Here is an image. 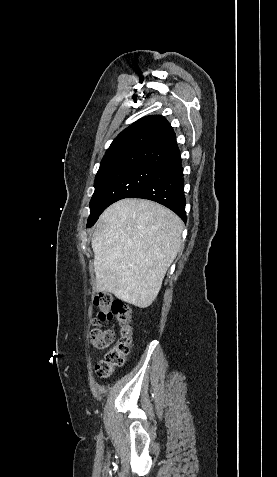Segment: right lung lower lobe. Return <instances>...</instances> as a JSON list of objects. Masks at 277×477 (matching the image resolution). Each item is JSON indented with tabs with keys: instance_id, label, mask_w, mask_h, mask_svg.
<instances>
[{
	"instance_id": "right-lung-lower-lobe-1",
	"label": "right lung lower lobe",
	"mask_w": 277,
	"mask_h": 477,
	"mask_svg": "<svg viewBox=\"0 0 277 477\" xmlns=\"http://www.w3.org/2000/svg\"><path fill=\"white\" fill-rule=\"evenodd\" d=\"M183 189V168L179 153L161 165L157 172L128 198H143L158 202L186 221Z\"/></svg>"
}]
</instances>
